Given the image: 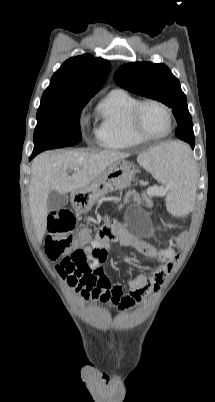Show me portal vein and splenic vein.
<instances>
[{
  "label": "portal vein and splenic vein",
  "instance_id": "obj_1",
  "mask_svg": "<svg viewBox=\"0 0 215 402\" xmlns=\"http://www.w3.org/2000/svg\"><path fill=\"white\" fill-rule=\"evenodd\" d=\"M73 170H74V171H76V170H77V168H74ZM166 191H167V190L165 189V190L163 191V193H165Z\"/></svg>",
  "mask_w": 215,
  "mask_h": 402
}]
</instances>
